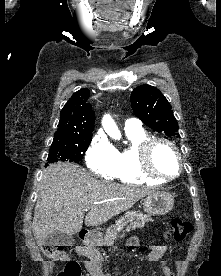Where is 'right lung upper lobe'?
I'll return each mask as SVG.
<instances>
[{"mask_svg":"<svg viewBox=\"0 0 221 276\" xmlns=\"http://www.w3.org/2000/svg\"><path fill=\"white\" fill-rule=\"evenodd\" d=\"M90 95L88 89L75 92L60 112L58 130L54 140H69L92 137L95 113L87 103Z\"/></svg>","mask_w":221,"mask_h":276,"instance_id":"1","label":"right lung upper lobe"}]
</instances>
